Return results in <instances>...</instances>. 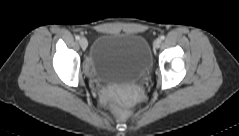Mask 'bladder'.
I'll return each instance as SVG.
<instances>
[{
  "instance_id": "bladder-1",
  "label": "bladder",
  "mask_w": 239,
  "mask_h": 136,
  "mask_svg": "<svg viewBox=\"0 0 239 136\" xmlns=\"http://www.w3.org/2000/svg\"><path fill=\"white\" fill-rule=\"evenodd\" d=\"M152 67L147 40L140 34L104 32L97 36L92 51L91 74L108 80L145 77Z\"/></svg>"
}]
</instances>
